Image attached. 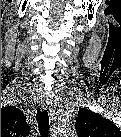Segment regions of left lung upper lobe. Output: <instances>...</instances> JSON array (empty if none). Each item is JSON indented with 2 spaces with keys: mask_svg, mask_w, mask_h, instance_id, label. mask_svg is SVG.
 I'll use <instances>...</instances> for the list:
<instances>
[{
  "mask_svg": "<svg viewBox=\"0 0 121 137\" xmlns=\"http://www.w3.org/2000/svg\"><path fill=\"white\" fill-rule=\"evenodd\" d=\"M80 136L114 137L121 135L120 130L108 119L88 109H80L75 124Z\"/></svg>",
  "mask_w": 121,
  "mask_h": 137,
  "instance_id": "5c2ea615",
  "label": "left lung upper lobe"
}]
</instances>
